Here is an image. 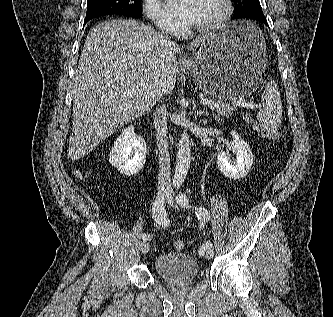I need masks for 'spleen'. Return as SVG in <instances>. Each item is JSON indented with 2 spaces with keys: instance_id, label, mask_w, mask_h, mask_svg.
Listing matches in <instances>:
<instances>
[{
  "instance_id": "obj_1",
  "label": "spleen",
  "mask_w": 333,
  "mask_h": 317,
  "mask_svg": "<svg viewBox=\"0 0 333 317\" xmlns=\"http://www.w3.org/2000/svg\"><path fill=\"white\" fill-rule=\"evenodd\" d=\"M254 28L261 31L257 26ZM261 102L263 108L257 113L258 122L266 132L275 133L282 119V102L278 87L274 81L267 83Z\"/></svg>"
}]
</instances>
